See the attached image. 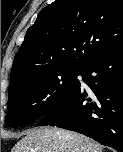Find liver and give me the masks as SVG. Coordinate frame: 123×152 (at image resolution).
<instances>
[{
    "instance_id": "obj_1",
    "label": "liver",
    "mask_w": 123,
    "mask_h": 152,
    "mask_svg": "<svg viewBox=\"0 0 123 152\" xmlns=\"http://www.w3.org/2000/svg\"><path fill=\"white\" fill-rule=\"evenodd\" d=\"M96 141L73 131L44 127L28 131L12 152H102Z\"/></svg>"
}]
</instances>
